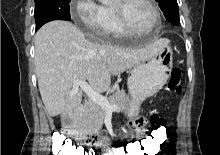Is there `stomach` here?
<instances>
[{"label":"stomach","instance_id":"stomach-1","mask_svg":"<svg viewBox=\"0 0 220 155\" xmlns=\"http://www.w3.org/2000/svg\"><path fill=\"white\" fill-rule=\"evenodd\" d=\"M172 63V48L166 43L152 58L141 62L131 70L128 78V90L131 97L127 108L129 117L136 116L140 105L163 88L169 79Z\"/></svg>","mask_w":220,"mask_h":155}]
</instances>
